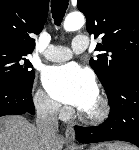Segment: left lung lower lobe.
Here are the masks:
<instances>
[{"label":"left lung lower lobe","instance_id":"0a47b994","mask_svg":"<svg viewBox=\"0 0 139 150\" xmlns=\"http://www.w3.org/2000/svg\"><path fill=\"white\" fill-rule=\"evenodd\" d=\"M110 113L100 126H75L81 143L127 141L139 147V64L127 69L108 95Z\"/></svg>","mask_w":139,"mask_h":150}]
</instances>
